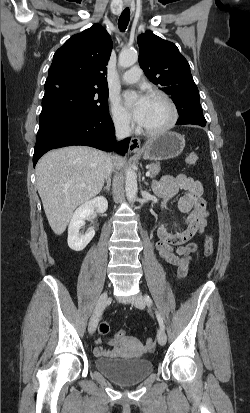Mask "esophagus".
Instances as JSON below:
<instances>
[{"mask_svg": "<svg viewBox=\"0 0 250 413\" xmlns=\"http://www.w3.org/2000/svg\"><path fill=\"white\" fill-rule=\"evenodd\" d=\"M128 4H126L127 6ZM141 150V142L138 138H132L129 144V151L133 153L140 152Z\"/></svg>", "mask_w": 250, "mask_h": 413, "instance_id": "esophagus-1", "label": "esophagus"}]
</instances>
